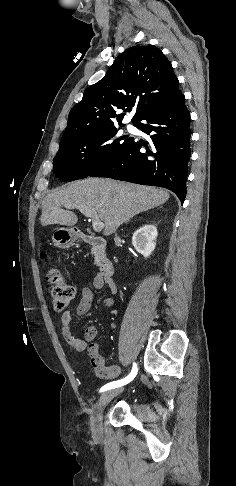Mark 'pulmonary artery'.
Instances as JSON below:
<instances>
[{"mask_svg": "<svg viewBox=\"0 0 236 486\" xmlns=\"http://www.w3.org/2000/svg\"><path fill=\"white\" fill-rule=\"evenodd\" d=\"M127 129H128L129 132H135L136 131V128L132 124H129L127 126Z\"/></svg>", "mask_w": 236, "mask_h": 486, "instance_id": "e3ab8cb5", "label": "pulmonary artery"}]
</instances>
